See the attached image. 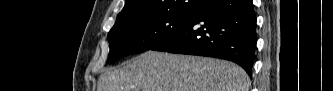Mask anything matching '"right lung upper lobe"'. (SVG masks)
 Instances as JSON below:
<instances>
[{
    "instance_id": "1",
    "label": "right lung upper lobe",
    "mask_w": 333,
    "mask_h": 91,
    "mask_svg": "<svg viewBox=\"0 0 333 91\" xmlns=\"http://www.w3.org/2000/svg\"><path fill=\"white\" fill-rule=\"evenodd\" d=\"M204 0H126L123 10L118 14L115 25L144 16L176 13H198Z\"/></svg>"
}]
</instances>
